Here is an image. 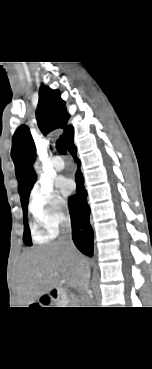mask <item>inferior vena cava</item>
Returning a JSON list of instances; mask_svg holds the SVG:
<instances>
[{
  "mask_svg": "<svg viewBox=\"0 0 152 369\" xmlns=\"http://www.w3.org/2000/svg\"><path fill=\"white\" fill-rule=\"evenodd\" d=\"M61 232H60V237H59V242L63 243L66 246V249L69 252H74L76 250L74 243L72 241V229H71V220L69 216H65L62 220H61ZM89 279H90V269L89 266H83L82 270H81V286L84 290V304L85 307H91L92 304V299L91 297L88 295V284H89Z\"/></svg>",
  "mask_w": 152,
  "mask_h": 369,
  "instance_id": "inferior-vena-cava-1",
  "label": "inferior vena cava"
}]
</instances>
